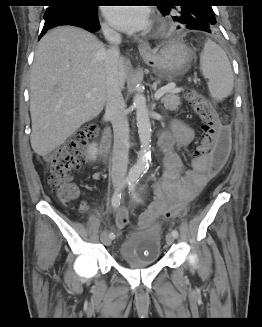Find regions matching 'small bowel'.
Returning a JSON list of instances; mask_svg holds the SVG:
<instances>
[{
    "mask_svg": "<svg viewBox=\"0 0 262 327\" xmlns=\"http://www.w3.org/2000/svg\"><path fill=\"white\" fill-rule=\"evenodd\" d=\"M195 138L194 129L181 122L174 121L170 130L159 134L158 143L163 153V176L153 184L155 202L139 219L140 227H148L164 212H170L181 203L192 201L213 175L207 172V157L193 154L190 169H185L180 151H184ZM82 212H88L89 206L85 200L79 202Z\"/></svg>",
    "mask_w": 262,
    "mask_h": 327,
    "instance_id": "obj_1",
    "label": "small bowel"
}]
</instances>
